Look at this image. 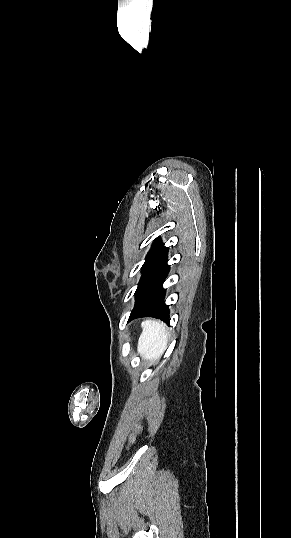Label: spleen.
Here are the masks:
<instances>
[{"instance_id": "obj_1", "label": "spleen", "mask_w": 291, "mask_h": 538, "mask_svg": "<svg viewBox=\"0 0 291 538\" xmlns=\"http://www.w3.org/2000/svg\"><path fill=\"white\" fill-rule=\"evenodd\" d=\"M169 333L163 323L143 322V331L138 341V353L144 358L155 361L167 348Z\"/></svg>"}]
</instances>
